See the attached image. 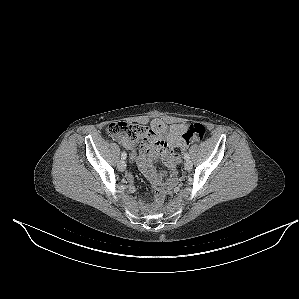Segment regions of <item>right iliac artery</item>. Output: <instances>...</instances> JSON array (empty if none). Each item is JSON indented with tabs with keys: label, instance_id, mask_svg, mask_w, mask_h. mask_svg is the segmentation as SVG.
<instances>
[{
	"label": "right iliac artery",
	"instance_id": "right-iliac-artery-1",
	"mask_svg": "<svg viewBox=\"0 0 299 299\" xmlns=\"http://www.w3.org/2000/svg\"><path fill=\"white\" fill-rule=\"evenodd\" d=\"M126 157H127V154H126L125 151H123L122 154H121V158H122V159H126Z\"/></svg>",
	"mask_w": 299,
	"mask_h": 299
}]
</instances>
